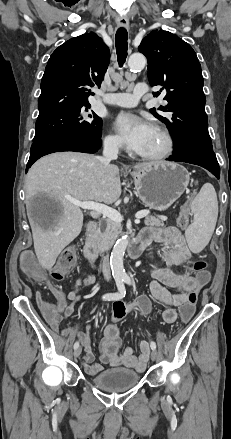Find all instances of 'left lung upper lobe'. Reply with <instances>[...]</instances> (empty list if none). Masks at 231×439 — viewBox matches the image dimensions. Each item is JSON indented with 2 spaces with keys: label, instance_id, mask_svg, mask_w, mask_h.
<instances>
[{
  "label": "left lung upper lobe",
  "instance_id": "5c2ea615",
  "mask_svg": "<svg viewBox=\"0 0 231 439\" xmlns=\"http://www.w3.org/2000/svg\"><path fill=\"white\" fill-rule=\"evenodd\" d=\"M138 50L148 59L151 86L161 85L160 92L166 91L167 105L159 107L165 114L157 113L155 108L150 111L168 127L174 151L189 145L212 148L201 65L192 47L170 32L154 30L142 40Z\"/></svg>",
  "mask_w": 231,
  "mask_h": 439
}]
</instances>
